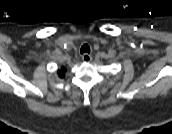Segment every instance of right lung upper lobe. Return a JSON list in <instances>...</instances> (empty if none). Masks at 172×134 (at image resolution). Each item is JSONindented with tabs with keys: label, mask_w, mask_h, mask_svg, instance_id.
I'll return each mask as SVG.
<instances>
[{
	"label": "right lung upper lobe",
	"mask_w": 172,
	"mask_h": 134,
	"mask_svg": "<svg viewBox=\"0 0 172 134\" xmlns=\"http://www.w3.org/2000/svg\"><path fill=\"white\" fill-rule=\"evenodd\" d=\"M65 68L64 67H62V69L61 70H58V76L60 77V78H63L64 77V75H65Z\"/></svg>",
	"instance_id": "right-lung-upper-lobe-1"
}]
</instances>
